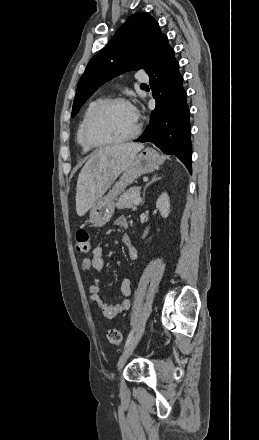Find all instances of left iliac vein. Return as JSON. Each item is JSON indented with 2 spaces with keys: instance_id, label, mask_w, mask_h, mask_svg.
Listing matches in <instances>:
<instances>
[{
  "instance_id": "obj_1",
  "label": "left iliac vein",
  "mask_w": 259,
  "mask_h": 440,
  "mask_svg": "<svg viewBox=\"0 0 259 440\" xmlns=\"http://www.w3.org/2000/svg\"><path fill=\"white\" fill-rule=\"evenodd\" d=\"M145 330V325H142L135 336L132 338L131 342L128 344V346L125 348L124 352L122 353L119 362H118V371L120 372L123 368L124 364L126 363L127 359L130 357L134 349L136 348L137 344L139 343L143 333Z\"/></svg>"
}]
</instances>
